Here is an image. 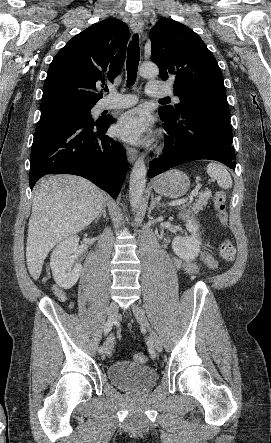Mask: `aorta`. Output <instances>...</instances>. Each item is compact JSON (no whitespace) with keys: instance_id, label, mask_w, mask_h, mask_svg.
Instances as JSON below:
<instances>
[{"instance_id":"1","label":"aorta","mask_w":271,"mask_h":443,"mask_svg":"<svg viewBox=\"0 0 271 443\" xmlns=\"http://www.w3.org/2000/svg\"><path fill=\"white\" fill-rule=\"evenodd\" d=\"M139 74L142 78H157L159 68L152 62H146L139 68ZM146 166L143 158L136 160L130 176L129 182V202L130 206L137 210L142 202L143 192L146 186Z\"/></svg>"}]
</instances>
